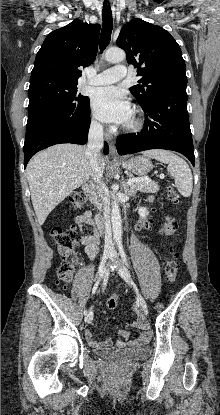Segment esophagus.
<instances>
[{
    "label": "esophagus",
    "mask_w": 220,
    "mask_h": 415,
    "mask_svg": "<svg viewBox=\"0 0 220 415\" xmlns=\"http://www.w3.org/2000/svg\"><path fill=\"white\" fill-rule=\"evenodd\" d=\"M105 138L109 144L110 152L112 154L115 153V147H114V135L108 131L105 132Z\"/></svg>",
    "instance_id": "1"
}]
</instances>
